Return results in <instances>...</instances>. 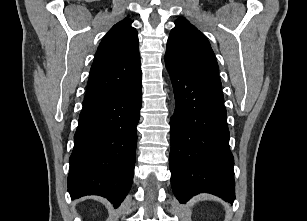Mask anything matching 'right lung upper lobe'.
<instances>
[{
	"label": "right lung upper lobe",
	"mask_w": 307,
	"mask_h": 221,
	"mask_svg": "<svg viewBox=\"0 0 307 221\" xmlns=\"http://www.w3.org/2000/svg\"><path fill=\"white\" fill-rule=\"evenodd\" d=\"M130 18L115 24L101 41L84 103L126 90L141 80L138 33Z\"/></svg>",
	"instance_id": "cb5924a9"
}]
</instances>
